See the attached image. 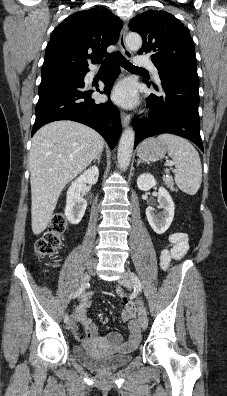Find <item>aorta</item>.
<instances>
[{"label":"aorta","mask_w":227,"mask_h":396,"mask_svg":"<svg viewBox=\"0 0 227 396\" xmlns=\"http://www.w3.org/2000/svg\"><path fill=\"white\" fill-rule=\"evenodd\" d=\"M126 44L130 50L137 51L142 46V38L138 33H129ZM134 140V130L131 127L126 128L121 135L117 153L118 165L122 170H126L130 164Z\"/></svg>","instance_id":"762f6f07"}]
</instances>
